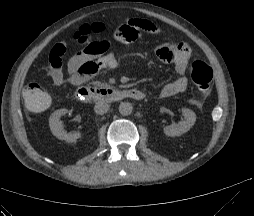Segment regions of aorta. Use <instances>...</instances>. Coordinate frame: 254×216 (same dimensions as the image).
<instances>
[{
	"label": "aorta",
	"instance_id": "1",
	"mask_svg": "<svg viewBox=\"0 0 254 216\" xmlns=\"http://www.w3.org/2000/svg\"><path fill=\"white\" fill-rule=\"evenodd\" d=\"M133 106L128 102H121L119 105V113L123 116H128L132 113Z\"/></svg>",
	"mask_w": 254,
	"mask_h": 216
}]
</instances>
